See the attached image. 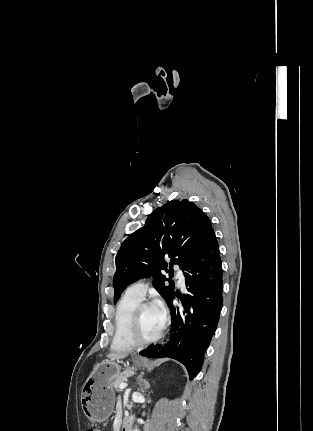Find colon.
<instances>
[{"label": "colon", "instance_id": "5ec220e1", "mask_svg": "<svg viewBox=\"0 0 313 431\" xmlns=\"http://www.w3.org/2000/svg\"><path fill=\"white\" fill-rule=\"evenodd\" d=\"M87 431H99L98 429H89Z\"/></svg>", "mask_w": 313, "mask_h": 431}]
</instances>
